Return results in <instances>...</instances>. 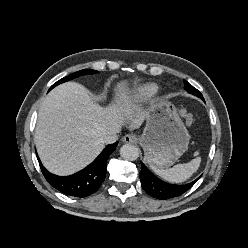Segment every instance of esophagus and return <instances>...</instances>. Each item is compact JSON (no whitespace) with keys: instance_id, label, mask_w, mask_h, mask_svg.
I'll use <instances>...</instances> for the list:
<instances>
[{"instance_id":"1","label":"esophagus","mask_w":248,"mask_h":248,"mask_svg":"<svg viewBox=\"0 0 248 248\" xmlns=\"http://www.w3.org/2000/svg\"><path fill=\"white\" fill-rule=\"evenodd\" d=\"M122 142L123 143H134L136 142V136L133 134H126L123 138H122Z\"/></svg>"}]
</instances>
